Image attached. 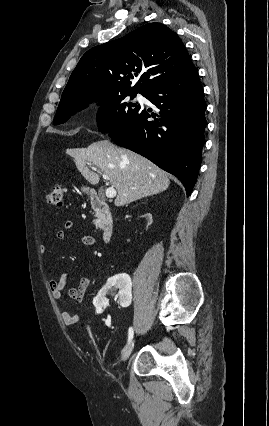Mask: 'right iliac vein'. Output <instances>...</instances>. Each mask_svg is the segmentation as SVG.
Here are the masks:
<instances>
[{"mask_svg":"<svg viewBox=\"0 0 269 426\" xmlns=\"http://www.w3.org/2000/svg\"><path fill=\"white\" fill-rule=\"evenodd\" d=\"M133 348H134V342H132L125 350H124V352H123V354H122V360L123 361H126L129 357H130V355H131V353H132V351H133Z\"/></svg>","mask_w":269,"mask_h":426,"instance_id":"63e3f726","label":"right iliac vein"}]
</instances>
